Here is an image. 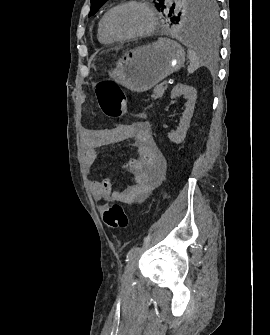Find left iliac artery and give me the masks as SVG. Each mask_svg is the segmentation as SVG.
<instances>
[{
	"mask_svg": "<svg viewBox=\"0 0 270 335\" xmlns=\"http://www.w3.org/2000/svg\"><path fill=\"white\" fill-rule=\"evenodd\" d=\"M141 251L140 247H134L132 248L127 256H126V261L129 262L133 257H135L139 252Z\"/></svg>",
	"mask_w": 270,
	"mask_h": 335,
	"instance_id": "44dca946",
	"label": "left iliac artery"
}]
</instances>
